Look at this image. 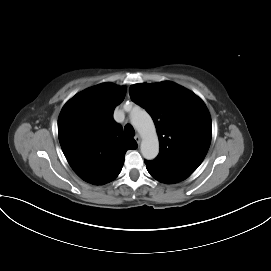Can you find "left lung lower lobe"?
I'll return each mask as SVG.
<instances>
[{
	"label": "left lung lower lobe",
	"mask_w": 271,
	"mask_h": 271,
	"mask_svg": "<svg viewBox=\"0 0 271 271\" xmlns=\"http://www.w3.org/2000/svg\"><path fill=\"white\" fill-rule=\"evenodd\" d=\"M148 172L158 181L171 184L180 182L190 176L194 171L166 162L153 160L146 161Z\"/></svg>",
	"instance_id": "1"
}]
</instances>
